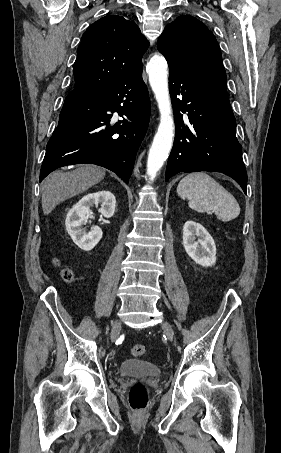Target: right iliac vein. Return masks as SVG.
<instances>
[{
	"mask_svg": "<svg viewBox=\"0 0 281 453\" xmlns=\"http://www.w3.org/2000/svg\"><path fill=\"white\" fill-rule=\"evenodd\" d=\"M113 330H112V333L114 334L112 337L115 339L117 336V334L119 333V331H121L122 329V326L120 324V321L118 319H115L113 321Z\"/></svg>",
	"mask_w": 281,
	"mask_h": 453,
	"instance_id": "obj_1",
	"label": "right iliac vein"
}]
</instances>
